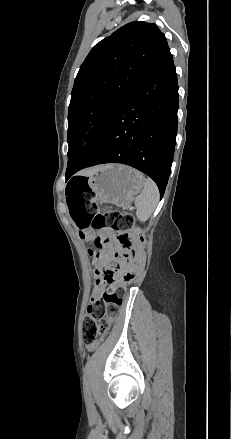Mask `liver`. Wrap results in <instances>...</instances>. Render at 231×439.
I'll return each mask as SVG.
<instances>
[{
	"instance_id": "liver-1",
	"label": "liver",
	"mask_w": 231,
	"mask_h": 439,
	"mask_svg": "<svg viewBox=\"0 0 231 439\" xmlns=\"http://www.w3.org/2000/svg\"><path fill=\"white\" fill-rule=\"evenodd\" d=\"M99 167H100V166H99ZM99 167H94V168H91V169H87V170L82 171L81 173H82L83 175H90V174H92L93 172H95Z\"/></svg>"
}]
</instances>
